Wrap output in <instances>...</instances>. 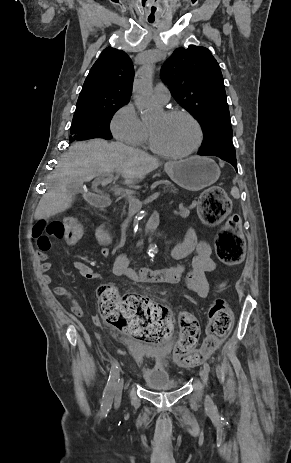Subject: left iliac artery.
<instances>
[{"label": "left iliac artery", "instance_id": "1", "mask_svg": "<svg viewBox=\"0 0 291 463\" xmlns=\"http://www.w3.org/2000/svg\"><path fill=\"white\" fill-rule=\"evenodd\" d=\"M204 368L207 370V372L210 371V366L207 362L204 363Z\"/></svg>", "mask_w": 291, "mask_h": 463}]
</instances>
